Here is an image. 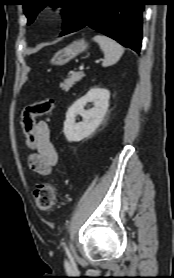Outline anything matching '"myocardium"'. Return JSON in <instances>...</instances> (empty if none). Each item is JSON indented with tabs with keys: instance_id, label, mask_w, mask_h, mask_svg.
I'll return each mask as SVG.
<instances>
[{
	"instance_id": "obj_1",
	"label": "myocardium",
	"mask_w": 174,
	"mask_h": 278,
	"mask_svg": "<svg viewBox=\"0 0 174 278\" xmlns=\"http://www.w3.org/2000/svg\"><path fill=\"white\" fill-rule=\"evenodd\" d=\"M46 12L50 17L58 19L67 14L68 7L65 5H52L47 7Z\"/></svg>"
}]
</instances>
